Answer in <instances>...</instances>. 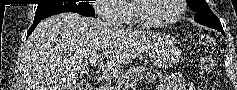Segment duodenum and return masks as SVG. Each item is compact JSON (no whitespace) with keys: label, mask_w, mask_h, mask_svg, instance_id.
I'll list each match as a JSON object with an SVG mask.
<instances>
[{"label":"duodenum","mask_w":237,"mask_h":90,"mask_svg":"<svg viewBox=\"0 0 237 90\" xmlns=\"http://www.w3.org/2000/svg\"><path fill=\"white\" fill-rule=\"evenodd\" d=\"M99 90H113L112 87H99Z\"/></svg>","instance_id":"1"}]
</instances>
